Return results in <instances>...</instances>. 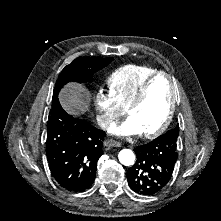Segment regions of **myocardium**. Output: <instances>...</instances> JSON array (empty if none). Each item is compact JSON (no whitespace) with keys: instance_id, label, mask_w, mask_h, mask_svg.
Listing matches in <instances>:
<instances>
[{"instance_id":"1","label":"myocardium","mask_w":221,"mask_h":221,"mask_svg":"<svg viewBox=\"0 0 221 221\" xmlns=\"http://www.w3.org/2000/svg\"><path fill=\"white\" fill-rule=\"evenodd\" d=\"M159 77H165L168 79L171 89V100H170L169 110L162 124L155 130L141 134L143 137L148 139L155 138L161 135L166 130V128L168 127V125L172 120L177 104V96H176V91L174 89L173 77L169 73L164 71L155 72L141 84V86L138 88L137 92L135 93L134 97L127 103V105L124 108L125 114L130 116L131 111L143 103L151 84Z\"/></svg>"}]
</instances>
